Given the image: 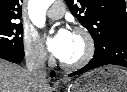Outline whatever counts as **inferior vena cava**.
Returning a JSON list of instances; mask_svg holds the SVG:
<instances>
[{"instance_id": "obj_1", "label": "inferior vena cava", "mask_w": 127, "mask_h": 92, "mask_svg": "<svg viewBox=\"0 0 127 92\" xmlns=\"http://www.w3.org/2000/svg\"><path fill=\"white\" fill-rule=\"evenodd\" d=\"M46 52L42 49H33L26 58L27 70L40 82H46Z\"/></svg>"}]
</instances>
